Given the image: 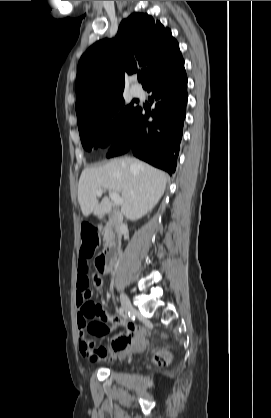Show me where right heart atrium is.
Returning a JSON list of instances; mask_svg holds the SVG:
<instances>
[{
	"instance_id": "d8ad5b80",
	"label": "right heart atrium",
	"mask_w": 271,
	"mask_h": 418,
	"mask_svg": "<svg viewBox=\"0 0 271 418\" xmlns=\"http://www.w3.org/2000/svg\"><path fill=\"white\" fill-rule=\"evenodd\" d=\"M124 132V124L121 120L120 114L114 112L110 114L103 126L104 139L107 144H115L122 136Z\"/></svg>"
}]
</instances>
